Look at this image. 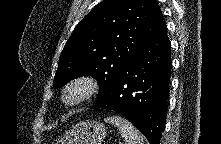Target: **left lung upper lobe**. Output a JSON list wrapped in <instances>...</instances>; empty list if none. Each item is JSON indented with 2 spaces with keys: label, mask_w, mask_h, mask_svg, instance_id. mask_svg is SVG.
<instances>
[{
  "label": "left lung upper lobe",
  "mask_w": 221,
  "mask_h": 144,
  "mask_svg": "<svg viewBox=\"0 0 221 144\" xmlns=\"http://www.w3.org/2000/svg\"><path fill=\"white\" fill-rule=\"evenodd\" d=\"M161 9L156 0H103L75 27L61 53L54 88L90 75L97 79V101L120 70L159 29Z\"/></svg>",
  "instance_id": "1"
}]
</instances>
